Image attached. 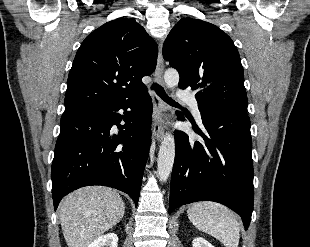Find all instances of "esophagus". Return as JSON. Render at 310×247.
Returning a JSON list of instances; mask_svg holds the SVG:
<instances>
[{
    "label": "esophagus",
    "instance_id": "obj_1",
    "mask_svg": "<svg viewBox=\"0 0 310 247\" xmlns=\"http://www.w3.org/2000/svg\"><path fill=\"white\" fill-rule=\"evenodd\" d=\"M163 72H164V60L162 56V43H160L158 49V59L156 67V80L160 84H163ZM152 100L154 104L152 135L156 139V141H160L163 136V123H164L163 113L166 110V106L165 103L156 93L152 94Z\"/></svg>",
    "mask_w": 310,
    "mask_h": 247
}]
</instances>
